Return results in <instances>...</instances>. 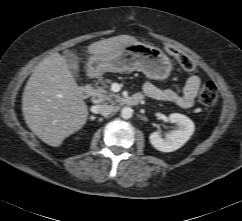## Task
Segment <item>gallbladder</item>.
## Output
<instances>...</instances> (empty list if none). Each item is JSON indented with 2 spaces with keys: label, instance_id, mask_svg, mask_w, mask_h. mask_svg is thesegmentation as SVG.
<instances>
[{
  "label": "gallbladder",
  "instance_id": "obj_1",
  "mask_svg": "<svg viewBox=\"0 0 242 221\" xmlns=\"http://www.w3.org/2000/svg\"><path fill=\"white\" fill-rule=\"evenodd\" d=\"M63 55L68 62L70 69L75 77H78L79 72V57L71 50H64Z\"/></svg>",
  "mask_w": 242,
  "mask_h": 221
}]
</instances>
